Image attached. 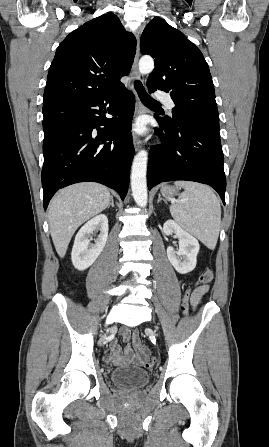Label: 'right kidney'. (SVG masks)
I'll return each instance as SVG.
<instances>
[{"label":"right kidney","mask_w":269,"mask_h":447,"mask_svg":"<svg viewBox=\"0 0 269 447\" xmlns=\"http://www.w3.org/2000/svg\"><path fill=\"white\" fill-rule=\"evenodd\" d=\"M100 231L95 243H90L91 233ZM108 237V218L105 214H99L87 224L82 225L76 233L74 245L72 247L71 259L76 269H86L94 263L98 255L104 249Z\"/></svg>","instance_id":"ca27d5eb"}]
</instances>
